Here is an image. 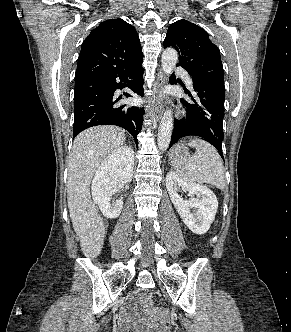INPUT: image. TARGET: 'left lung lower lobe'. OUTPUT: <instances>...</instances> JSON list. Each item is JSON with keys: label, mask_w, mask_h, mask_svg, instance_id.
I'll use <instances>...</instances> for the list:
<instances>
[{"label": "left lung lower lobe", "mask_w": 291, "mask_h": 332, "mask_svg": "<svg viewBox=\"0 0 291 332\" xmlns=\"http://www.w3.org/2000/svg\"><path fill=\"white\" fill-rule=\"evenodd\" d=\"M191 100L180 99L187 107L186 119L176 120L169 148L185 136H199L213 145L224 160L222 152L225 88L224 81L195 77ZM172 83H176L172 78Z\"/></svg>", "instance_id": "0a47b994"}]
</instances>
